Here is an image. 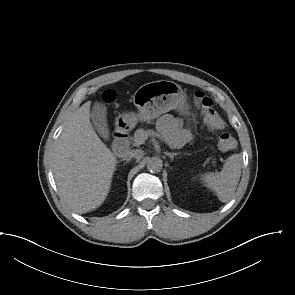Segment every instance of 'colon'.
Instances as JSON below:
<instances>
[{
  "mask_svg": "<svg viewBox=\"0 0 295 295\" xmlns=\"http://www.w3.org/2000/svg\"><path fill=\"white\" fill-rule=\"evenodd\" d=\"M113 99L114 93L112 91L104 92L103 101L105 103H109ZM194 102L200 109L205 124L210 129L217 131L219 147L224 151L234 149L236 147V140L229 132L223 131L224 121L214 109L212 99L202 92H196L194 96Z\"/></svg>",
  "mask_w": 295,
  "mask_h": 295,
  "instance_id": "5ec220e1",
  "label": "colon"
}]
</instances>
